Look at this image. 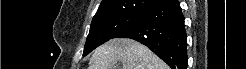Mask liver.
Segmentation results:
<instances>
[{"mask_svg": "<svg viewBox=\"0 0 246 69\" xmlns=\"http://www.w3.org/2000/svg\"><path fill=\"white\" fill-rule=\"evenodd\" d=\"M118 61L123 69H168L149 48L126 38H115L98 47L88 69H114Z\"/></svg>", "mask_w": 246, "mask_h": 69, "instance_id": "obj_1", "label": "liver"}]
</instances>
